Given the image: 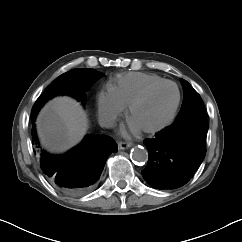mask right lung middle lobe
<instances>
[{"label":"right lung middle lobe","instance_id":"dd1d6c3e","mask_svg":"<svg viewBox=\"0 0 242 242\" xmlns=\"http://www.w3.org/2000/svg\"><path fill=\"white\" fill-rule=\"evenodd\" d=\"M104 74L93 69L77 68L56 78L35 102L31 115H36L40 108L57 95H69L82 103L85 102V91Z\"/></svg>","mask_w":242,"mask_h":242}]
</instances>
